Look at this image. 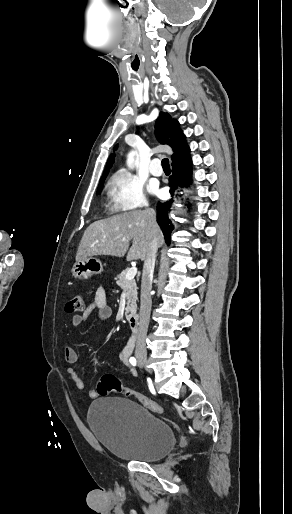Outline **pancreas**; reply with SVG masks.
Segmentation results:
<instances>
[{
	"label": "pancreas",
	"instance_id": "pancreas-1",
	"mask_svg": "<svg viewBox=\"0 0 292 514\" xmlns=\"http://www.w3.org/2000/svg\"><path fill=\"white\" fill-rule=\"evenodd\" d=\"M128 270H123L121 274H118L116 284L117 286H120L121 290L125 292L126 294V300H127V308L125 310V316H133V314H136V300H138V294H137V284L135 280H127L126 274Z\"/></svg>",
	"mask_w": 292,
	"mask_h": 514
}]
</instances>
